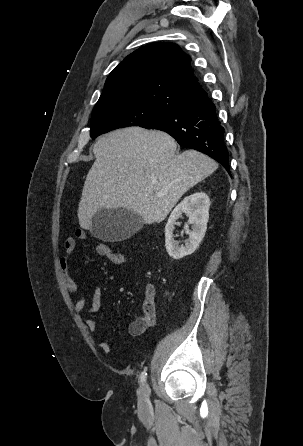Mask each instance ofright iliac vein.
I'll return each mask as SVG.
<instances>
[{
  "instance_id": "1",
  "label": "right iliac vein",
  "mask_w": 303,
  "mask_h": 446,
  "mask_svg": "<svg viewBox=\"0 0 303 446\" xmlns=\"http://www.w3.org/2000/svg\"><path fill=\"white\" fill-rule=\"evenodd\" d=\"M150 388L147 383L143 384L138 391V404L142 412L148 410L149 407Z\"/></svg>"
}]
</instances>
